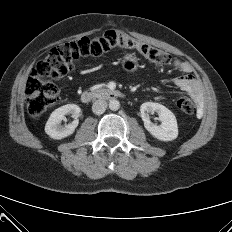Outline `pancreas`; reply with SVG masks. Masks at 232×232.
<instances>
[{
  "label": "pancreas",
  "mask_w": 232,
  "mask_h": 232,
  "mask_svg": "<svg viewBox=\"0 0 232 232\" xmlns=\"http://www.w3.org/2000/svg\"><path fill=\"white\" fill-rule=\"evenodd\" d=\"M94 92L96 93V94H102V93H105L106 92V89H98V90H94Z\"/></svg>",
  "instance_id": "cf45deb5"
}]
</instances>
